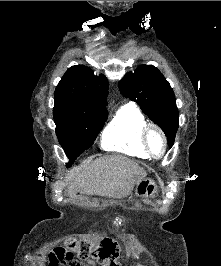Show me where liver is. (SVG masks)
<instances>
[{
    "instance_id": "liver-1",
    "label": "liver",
    "mask_w": 221,
    "mask_h": 266,
    "mask_svg": "<svg viewBox=\"0 0 221 266\" xmlns=\"http://www.w3.org/2000/svg\"><path fill=\"white\" fill-rule=\"evenodd\" d=\"M145 176L143 169L127 157L104 156L89 162L76 173L73 170L69 175L72 182L68 192L81 191L88 195L121 199L127 197L135 183Z\"/></svg>"
}]
</instances>
